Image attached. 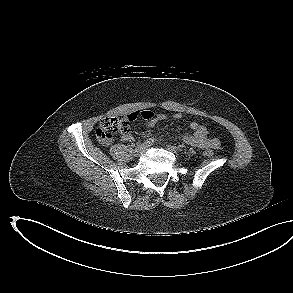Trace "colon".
Instances as JSON below:
<instances>
[{
    "label": "colon",
    "instance_id": "5ec220e1",
    "mask_svg": "<svg viewBox=\"0 0 293 293\" xmlns=\"http://www.w3.org/2000/svg\"><path fill=\"white\" fill-rule=\"evenodd\" d=\"M130 132V120L125 117H109L104 119L95 131L96 138L102 143H108L117 134ZM207 156L213 155L212 149L205 151Z\"/></svg>",
    "mask_w": 293,
    "mask_h": 293
}]
</instances>
